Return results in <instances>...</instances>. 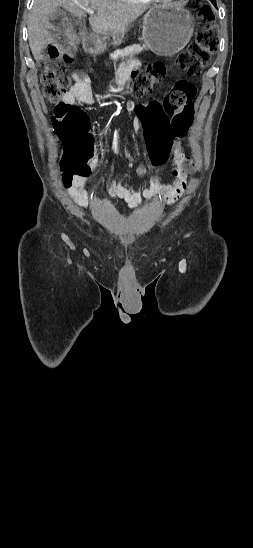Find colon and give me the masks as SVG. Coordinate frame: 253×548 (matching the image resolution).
<instances>
[{
    "instance_id": "5ec220e1",
    "label": "colon",
    "mask_w": 253,
    "mask_h": 548,
    "mask_svg": "<svg viewBox=\"0 0 253 548\" xmlns=\"http://www.w3.org/2000/svg\"><path fill=\"white\" fill-rule=\"evenodd\" d=\"M199 15L201 28L196 40L174 60L177 69L191 76L199 75L209 64L217 46V29L210 8L202 6ZM71 49L70 43L53 45L40 61L43 95L47 100L57 102L54 108V128L64 144L60 170L65 185L70 184L75 177L89 175L87 162L93 158L95 148L85 111L78 105L60 101L70 87L65 65L73 59ZM165 74L166 67L160 62L153 63L144 72L134 71L130 76L128 91L137 97L150 95L161 85ZM167 87L170 93L166 98H145L135 113L136 120L145 125L142 134L147 139L150 160L154 165L167 163L171 139L183 137L194 116L196 87L186 83L184 77L170 80ZM180 168L184 173L191 171L193 161L184 157Z\"/></svg>"
}]
</instances>
